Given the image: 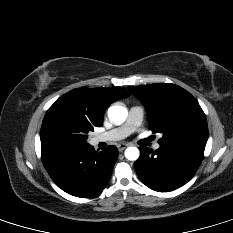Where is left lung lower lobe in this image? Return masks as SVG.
Returning <instances> with one entry per match:
<instances>
[{
  "label": "left lung lower lobe",
  "mask_w": 233,
  "mask_h": 233,
  "mask_svg": "<svg viewBox=\"0 0 233 233\" xmlns=\"http://www.w3.org/2000/svg\"><path fill=\"white\" fill-rule=\"evenodd\" d=\"M205 145L182 142L160 145L156 151L140 147L135 169L140 180L149 188L166 192L187 183L198 170Z\"/></svg>",
  "instance_id": "left-lung-lower-lobe-1"
}]
</instances>
